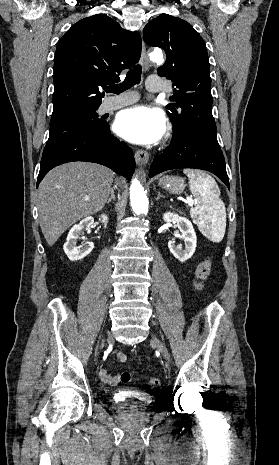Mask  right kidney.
I'll use <instances>...</instances> for the list:
<instances>
[{"mask_svg": "<svg viewBox=\"0 0 279 465\" xmlns=\"http://www.w3.org/2000/svg\"><path fill=\"white\" fill-rule=\"evenodd\" d=\"M108 221L107 215H101V222L106 223ZM94 222L93 217H86L82 219L78 224H75L69 231L66 242L63 249L71 261L81 260L87 256L94 248L93 242H87L84 248L78 249L76 247L77 240L84 235V231L90 232Z\"/></svg>", "mask_w": 279, "mask_h": 465, "instance_id": "obj_1", "label": "right kidney"}]
</instances>
